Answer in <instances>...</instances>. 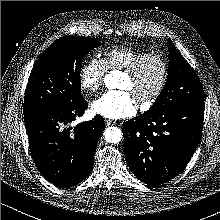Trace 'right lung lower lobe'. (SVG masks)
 <instances>
[{"mask_svg":"<svg viewBox=\"0 0 220 220\" xmlns=\"http://www.w3.org/2000/svg\"><path fill=\"white\" fill-rule=\"evenodd\" d=\"M87 101L70 108L37 107L24 110V120L33 161L40 173L60 188L82 182L90 173L98 139L104 130L100 115L70 123L83 115Z\"/></svg>","mask_w":220,"mask_h":220,"instance_id":"right-lung-lower-lobe-1","label":"right lung lower lobe"}]
</instances>
